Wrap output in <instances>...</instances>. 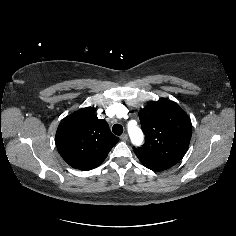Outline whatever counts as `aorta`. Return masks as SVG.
Instances as JSON below:
<instances>
[{"mask_svg": "<svg viewBox=\"0 0 236 236\" xmlns=\"http://www.w3.org/2000/svg\"><path fill=\"white\" fill-rule=\"evenodd\" d=\"M128 133H129L130 139L134 145H140L143 142L144 135L138 126L132 125L131 123H129Z\"/></svg>", "mask_w": 236, "mask_h": 236, "instance_id": "obj_1", "label": "aorta"}]
</instances>
